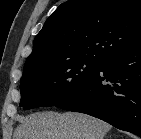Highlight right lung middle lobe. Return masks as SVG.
Listing matches in <instances>:
<instances>
[{"mask_svg": "<svg viewBox=\"0 0 141 139\" xmlns=\"http://www.w3.org/2000/svg\"><path fill=\"white\" fill-rule=\"evenodd\" d=\"M102 62L97 57L83 56L24 70L20 106L32 109L60 103L83 87Z\"/></svg>", "mask_w": 141, "mask_h": 139, "instance_id": "right-lung-middle-lobe-1", "label": "right lung middle lobe"}]
</instances>
